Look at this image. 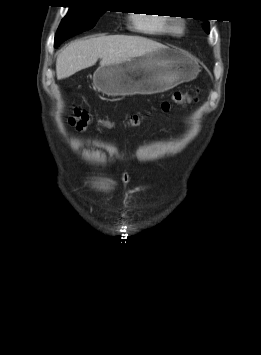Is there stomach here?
Returning <instances> with one entry per match:
<instances>
[{
	"label": "stomach",
	"instance_id": "0dacf381",
	"mask_svg": "<svg viewBox=\"0 0 261 355\" xmlns=\"http://www.w3.org/2000/svg\"><path fill=\"white\" fill-rule=\"evenodd\" d=\"M199 72L194 57L181 49L164 46L126 61L100 65L93 81L108 96L156 94L195 79Z\"/></svg>",
	"mask_w": 261,
	"mask_h": 355
}]
</instances>
